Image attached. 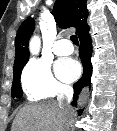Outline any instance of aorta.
I'll return each instance as SVG.
<instances>
[{"label": "aorta", "instance_id": "762f6f07", "mask_svg": "<svg viewBox=\"0 0 117 131\" xmlns=\"http://www.w3.org/2000/svg\"><path fill=\"white\" fill-rule=\"evenodd\" d=\"M29 49L31 54L37 55L40 50V38L38 36H33L29 43Z\"/></svg>", "mask_w": 117, "mask_h": 131}]
</instances>
